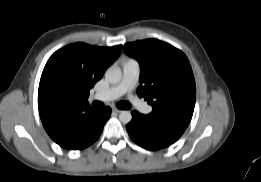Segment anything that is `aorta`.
<instances>
[{"mask_svg": "<svg viewBox=\"0 0 261 182\" xmlns=\"http://www.w3.org/2000/svg\"><path fill=\"white\" fill-rule=\"evenodd\" d=\"M122 78V73L119 69L110 68L105 73V79L111 84H117ZM132 115L129 111H121L119 114V120L123 124H127L131 121Z\"/></svg>", "mask_w": 261, "mask_h": 182, "instance_id": "aorta-1", "label": "aorta"}]
</instances>
